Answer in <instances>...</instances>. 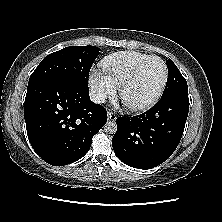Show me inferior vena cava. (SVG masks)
<instances>
[{
	"label": "inferior vena cava",
	"mask_w": 222,
	"mask_h": 222,
	"mask_svg": "<svg viewBox=\"0 0 222 222\" xmlns=\"http://www.w3.org/2000/svg\"><path fill=\"white\" fill-rule=\"evenodd\" d=\"M89 95L90 100L95 104H101L105 102L106 95L104 93L91 91Z\"/></svg>",
	"instance_id": "1"
}]
</instances>
